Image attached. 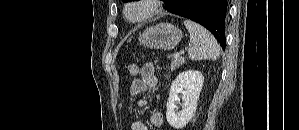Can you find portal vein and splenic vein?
<instances>
[{
    "instance_id": "1",
    "label": "portal vein and splenic vein",
    "mask_w": 299,
    "mask_h": 130,
    "mask_svg": "<svg viewBox=\"0 0 299 130\" xmlns=\"http://www.w3.org/2000/svg\"><path fill=\"white\" fill-rule=\"evenodd\" d=\"M175 55L179 57V56H180V53H179V52H177Z\"/></svg>"
}]
</instances>
